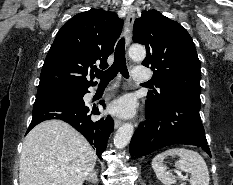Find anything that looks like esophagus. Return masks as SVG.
Returning <instances> with one entry per match:
<instances>
[{
	"label": "esophagus",
	"instance_id": "obj_1",
	"mask_svg": "<svg viewBox=\"0 0 233 185\" xmlns=\"http://www.w3.org/2000/svg\"><path fill=\"white\" fill-rule=\"evenodd\" d=\"M134 20H135V11L132 9L129 11V13L126 17V21H125L124 36H125L126 46H128L131 42L132 27H133ZM121 125H122L121 120H119V119L115 120V123H114L115 129L119 128Z\"/></svg>",
	"mask_w": 233,
	"mask_h": 185
}]
</instances>
